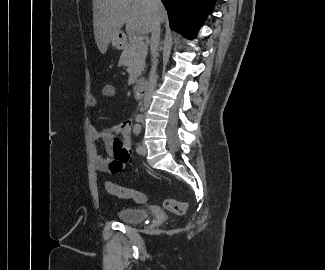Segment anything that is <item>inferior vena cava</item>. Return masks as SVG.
<instances>
[{
  "label": "inferior vena cava",
  "instance_id": "inferior-vena-cava-1",
  "mask_svg": "<svg viewBox=\"0 0 325 270\" xmlns=\"http://www.w3.org/2000/svg\"><path fill=\"white\" fill-rule=\"evenodd\" d=\"M149 2L153 6H157L161 4L160 0H149ZM159 40H160V21L158 19L155 20L154 26L152 29L151 33V51L153 54V62H152V67L149 75V82L146 88L145 96H144V109L146 110L148 106L151 103L152 95L156 87L157 83V75H156V58H155V50L157 49L159 45Z\"/></svg>",
  "mask_w": 325,
  "mask_h": 270
}]
</instances>
